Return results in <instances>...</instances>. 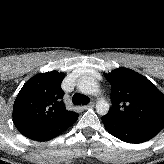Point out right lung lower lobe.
<instances>
[{
    "mask_svg": "<svg viewBox=\"0 0 164 164\" xmlns=\"http://www.w3.org/2000/svg\"><path fill=\"white\" fill-rule=\"evenodd\" d=\"M78 119V114L75 113L51 126L45 127L43 129L37 130L26 135L27 138L35 141H48L52 138L59 136L62 132L73 125Z\"/></svg>",
    "mask_w": 164,
    "mask_h": 164,
    "instance_id": "1",
    "label": "right lung lower lobe"
}]
</instances>
